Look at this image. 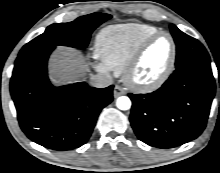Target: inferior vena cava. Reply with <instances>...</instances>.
<instances>
[{
  "label": "inferior vena cava",
  "instance_id": "602c4592",
  "mask_svg": "<svg viewBox=\"0 0 220 173\" xmlns=\"http://www.w3.org/2000/svg\"><path fill=\"white\" fill-rule=\"evenodd\" d=\"M89 84L92 87L105 88L113 84V79L107 74L98 73L91 77Z\"/></svg>",
  "mask_w": 220,
  "mask_h": 173
}]
</instances>
